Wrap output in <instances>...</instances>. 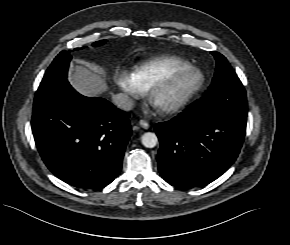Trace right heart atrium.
<instances>
[{
  "label": "right heart atrium",
  "mask_w": 290,
  "mask_h": 245,
  "mask_svg": "<svg viewBox=\"0 0 290 245\" xmlns=\"http://www.w3.org/2000/svg\"><path fill=\"white\" fill-rule=\"evenodd\" d=\"M114 82L118 89L125 95L130 104H133L135 101L139 100L144 93L135 81L132 72L125 70L119 71L115 76Z\"/></svg>",
  "instance_id": "1"
}]
</instances>
